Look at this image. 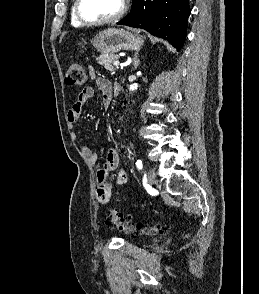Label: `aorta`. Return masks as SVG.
<instances>
[{
    "label": "aorta",
    "instance_id": "obj_1",
    "mask_svg": "<svg viewBox=\"0 0 259 294\" xmlns=\"http://www.w3.org/2000/svg\"><path fill=\"white\" fill-rule=\"evenodd\" d=\"M137 87H138V84L135 83V84H133V85L130 86V90L131 91H134V90L137 89Z\"/></svg>",
    "mask_w": 259,
    "mask_h": 294
}]
</instances>
